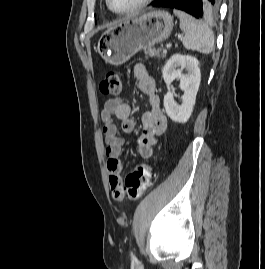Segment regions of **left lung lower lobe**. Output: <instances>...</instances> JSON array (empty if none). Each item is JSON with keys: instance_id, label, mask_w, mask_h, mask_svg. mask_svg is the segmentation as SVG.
Returning a JSON list of instances; mask_svg holds the SVG:
<instances>
[{"instance_id": "0a47b994", "label": "left lung lower lobe", "mask_w": 265, "mask_h": 269, "mask_svg": "<svg viewBox=\"0 0 265 269\" xmlns=\"http://www.w3.org/2000/svg\"><path fill=\"white\" fill-rule=\"evenodd\" d=\"M154 7H167L185 11L199 19H214L218 15L219 0H158Z\"/></svg>"}]
</instances>
